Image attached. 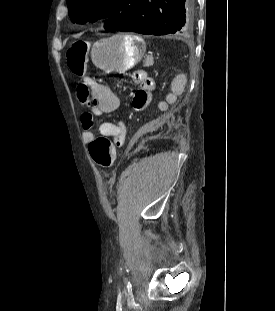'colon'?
I'll return each instance as SVG.
<instances>
[{
    "label": "colon",
    "instance_id": "5ec220e1",
    "mask_svg": "<svg viewBox=\"0 0 275 311\" xmlns=\"http://www.w3.org/2000/svg\"><path fill=\"white\" fill-rule=\"evenodd\" d=\"M88 47L87 42L76 41L66 52L68 67L79 78H83L85 75ZM89 93V87L81 83L79 85V99L81 103L85 104L89 102ZM89 153L94 163L99 167L110 168L115 162L114 144L106 136L95 137L90 143Z\"/></svg>",
    "mask_w": 275,
    "mask_h": 311
}]
</instances>
